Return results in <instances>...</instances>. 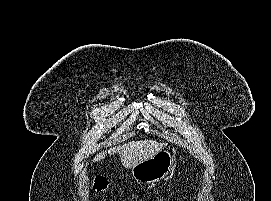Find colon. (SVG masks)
<instances>
[{"label": "colon", "mask_w": 271, "mask_h": 201, "mask_svg": "<svg viewBox=\"0 0 271 201\" xmlns=\"http://www.w3.org/2000/svg\"><path fill=\"white\" fill-rule=\"evenodd\" d=\"M94 188L99 192L103 191L106 188V181L104 179H98L95 182ZM162 200L163 198L161 197L159 201H162Z\"/></svg>", "instance_id": "1"}]
</instances>
